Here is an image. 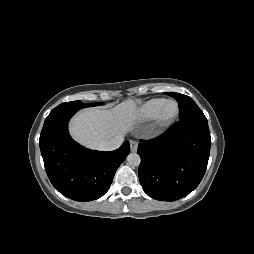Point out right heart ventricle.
Wrapping results in <instances>:
<instances>
[{
    "label": "right heart ventricle",
    "mask_w": 254,
    "mask_h": 254,
    "mask_svg": "<svg viewBox=\"0 0 254 254\" xmlns=\"http://www.w3.org/2000/svg\"><path fill=\"white\" fill-rule=\"evenodd\" d=\"M162 98L151 99L143 103L136 112V119L139 122H148L155 119L165 104Z\"/></svg>",
    "instance_id": "right-heart-ventricle-1"
}]
</instances>
